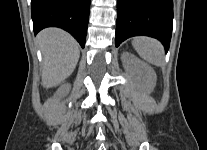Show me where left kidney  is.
<instances>
[{
    "label": "left kidney",
    "mask_w": 207,
    "mask_h": 150,
    "mask_svg": "<svg viewBox=\"0 0 207 150\" xmlns=\"http://www.w3.org/2000/svg\"><path fill=\"white\" fill-rule=\"evenodd\" d=\"M122 62L126 70L130 69L132 66L139 69L144 82V90L147 93H151L156 85L157 79L154 70L127 52L122 54Z\"/></svg>",
    "instance_id": "obj_1"
}]
</instances>
